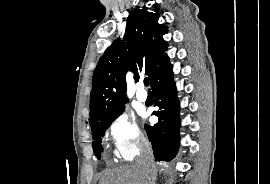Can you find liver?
<instances>
[{"mask_svg":"<svg viewBox=\"0 0 270 184\" xmlns=\"http://www.w3.org/2000/svg\"><path fill=\"white\" fill-rule=\"evenodd\" d=\"M150 174L139 165L122 166L106 171L99 184H148Z\"/></svg>","mask_w":270,"mask_h":184,"instance_id":"1","label":"liver"}]
</instances>
